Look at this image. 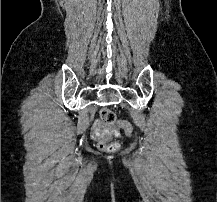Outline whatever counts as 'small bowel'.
Wrapping results in <instances>:
<instances>
[{
    "mask_svg": "<svg viewBox=\"0 0 217 202\" xmlns=\"http://www.w3.org/2000/svg\"><path fill=\"white\" fill-rule=\"evenodd\" d=\"M117 135V129L110 128L101 118L95 119L91 126L90 137L93 141L100 142L103 139Z\"/></svg>",
    "mask_w": 217,
    "mask_h": 202,
    "instance_id": "small-bowel-1",
    "label": "small bowel"
}]
</instances>
